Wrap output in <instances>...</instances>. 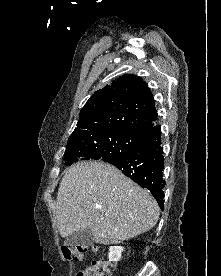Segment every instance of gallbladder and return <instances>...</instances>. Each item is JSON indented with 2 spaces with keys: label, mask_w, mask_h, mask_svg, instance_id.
<instances>
[{
  "label": "gallbladder",
  "mask_w": 221,
  "mask_h": 276,
  "mask_svg": "<svg viewBox=\"0 0 221 276\" xmlns=\"http://www.w3.org/2000/svg\"><path fill=\"white\" fill-rule=\"evenodd\" d=\"M93 244H94V239L90 229H84V230L74 232L73 234L66 237L64 241V245L68 247H76V246L89 247V246H92Z\"/></svg>",
  "instance_id": "gallbladder-1"
}]
</instances>
